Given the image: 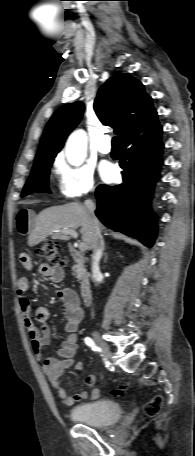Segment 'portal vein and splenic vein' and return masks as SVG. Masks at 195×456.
Returning <instances> with one entry per match:
<instances>
[{
    "instance_id": "obj_1",
    "label": "portal vein and splenic vein",
    "mask_w": 195,
    "mask_h": 456,
    "mask_svg": "<svg viewBox=\"0 0 195 456\" xmlns=\"http://www.w3.org/2000/svg\"><path fill=\"white\" fill-rule=\"evenodd\" d=\"M65 233L71 235V236L74 237V238H77V237H78L77 232H76L75 230H73V229H69V230L66 229V230H65ZM86 249H87V245H86L84 242H81V243L79 244V250H80L81 252H84V251H86Z\"/></svg>"
}]
</instances>
